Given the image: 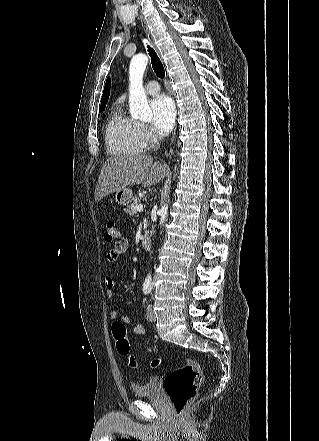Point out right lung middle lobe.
<instances>
[{"label":"right lung middle lobe","instance_id":"obj_1","mask_svg":"<svg viewBox=\"0 0 319 441\" xmlns=\"http://www.w3.org/2000/svg\"><path fill=\"white\" fill-rule=\"evenodd\" d=\"M104 109H105V105H104V106H102V107H100V112H103V111H104Z\"/></svg>","mask_w":319,"mask_h":441}]
</instances>
